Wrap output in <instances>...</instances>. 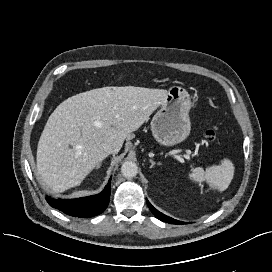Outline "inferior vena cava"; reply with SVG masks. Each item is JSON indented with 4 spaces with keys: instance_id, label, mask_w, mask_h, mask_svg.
<instances>
[{
    "instance_id": "inferior-vena-cava-1",
    "label": "inferior vena cava",
    "mask_w": 272,
    "mask_h": 272,
    "mask_svg": "<svg viewBox=\"0 0 272 272\" xmlns=\"http://www.w3.org/2000/svg\"><path fill=\"white\" fill-rule=\"evenodd\" d=\"M103 150L107 154L116 153L118 151L116 145L114 143H111V142L104 143L103 144Z\"/></svg>"
}]
</instances>
